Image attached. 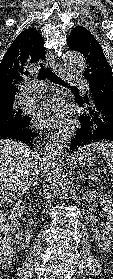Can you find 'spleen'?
I'll use <instances>...</instances> for the list:
<instances>
[{"label": "spleen", "instance_id": "obj_1", "mask_svg": "<svg viewBox=\"0 0 113 279\" xmlns=\"http://www.w3.org/2000/svg\"><path fill=\"white\" fill-rule=\"evenodd\" d=\"M87 147L99 152L107 161V165L113 173V142H95Z\"/></svg>", "mask_w": 113, "mask_h": 279}]
</instances>
